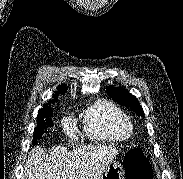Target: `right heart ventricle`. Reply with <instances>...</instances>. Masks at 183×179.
Wrapping results in <instances>:
<instances>
[{
	"instance_id": "1",
	"label": "right heart ventricle",
	"mask_w": 183,
	"mask_h": 179,
	"mask_svg": "<svg viewBox=\"0 0 183 179\" xmlns=\"http://www.w3.org/2000/svg\"><path fill=\"white\" fill-rule=\"evenodd\" d=\"M83 127L93 140L121 141L132 133V124L126 113L107 100H98L87 108Z\"/></svg>"
}]
</instances>
